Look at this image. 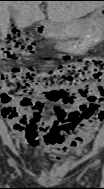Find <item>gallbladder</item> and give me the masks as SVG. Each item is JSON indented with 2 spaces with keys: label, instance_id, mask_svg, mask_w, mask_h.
Returning <instances> with one entry per match:
<instances>
[{
  "label": "gallbladder",
  "instance_id": "1",
  "mask_svg": "<svg viewBox=\"0 0 104 189\" xmlns=\"http://www.w3.org/2000/svg\"><path fill=\"white\" fill-rule=\"evenodd\" d=\"M10 12L14 15V12H15V11H14V9H11Z\"/></svg>",
  "mask_w": 104,
  "mask_h": 189
}]
</instances>
